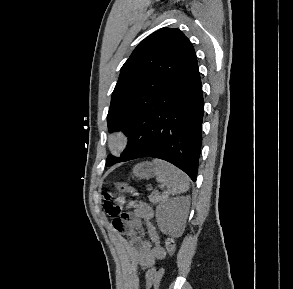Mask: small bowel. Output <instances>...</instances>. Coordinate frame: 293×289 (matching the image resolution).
Segmentation results:
<instances>
[{
    "label": "small bowel",
    "instance_id": "obj_1",
    "mask_svg": "<svg viewBox=\"0 0 293 289\" xmlns=\"http://www.w3.org/2000/svg\"><path fill=\"white\" fill-rule=\"evenodd\" d=\"M116 202L120 205L126 204L130 211L113 219L112 225L117 232L128 237V240L121 238L123 248L137 269L146 272V289H150L151 280L158 272L155 262L166 257V251L153 223V209L144 202L127 203L124 196L118 197Z\"/></svg>",
    "mask_w": 293,
    "mask_h": 289
}]
</instances>
